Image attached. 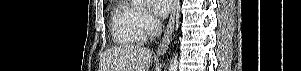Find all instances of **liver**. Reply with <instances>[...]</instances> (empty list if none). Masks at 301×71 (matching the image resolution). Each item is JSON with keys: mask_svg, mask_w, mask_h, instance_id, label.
<instances>
[{"mask_svg": "<svg viewBox=\"0 0 301 71\" xmlns=\"http://www.w3.org/2000/svg\"><path fill=\"white\" fill-rule=\"evenodd\" d=\"M152 52L140 45L114 48L104 53L103 71H148Z\"/></svg>", "mask_w": 301, "mask_h": 71, "instance_id": "1", "label": "liver"}]
</instances>
